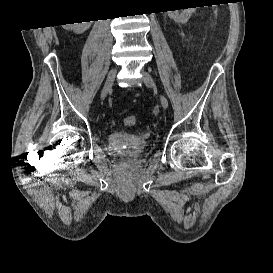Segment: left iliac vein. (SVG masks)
I'll return each instance as SVG.
<instances>
[{
  "mask_svg": "<svg viewBox=\"0 0 273 273\" xmlns=\"http://www.w3.org/2000/svg\"><path fill=\"white\" fill-rule=\"evenodd\" d=\"M143 81L148 88L155 87V83L153 81V78L151 77V75L149 74L148 71H143ZM160 102H161V105L164 109L168 108L169 103H168L167 98L164 95L160 96Z\"/></svg>",
  "mask_w": 273,
  "mask_h": 273,
  "instance_id": "4c4485c4",
  "label": "left iliac vein"
}]
</instances>
